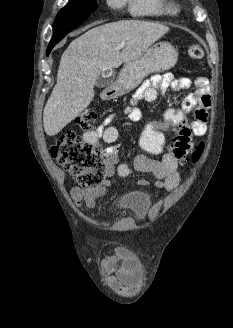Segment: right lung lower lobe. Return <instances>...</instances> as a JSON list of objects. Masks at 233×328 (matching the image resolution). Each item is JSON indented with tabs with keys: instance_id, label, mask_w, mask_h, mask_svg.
I'll return each instance as SVG.
<instances>
[{
	"instance_id": "right-lung-lower-lobe-1",
	"label": "right lung lower lobe",
	"mask_w": 233,
	"mask_h": 328,
	"mask_svg": "<svg viewBox=\"0 0 233 328\" xmlns=\"http://www.w3.org/2000/svg\"><path fill=\"white\" fill-rule=\"evenodd\" d=\"M84 20H60L54 22V33L53 37L51 39V42L49 43L47 53L48 56L51 49L54 47V45L59 42L67 33H69L71 30H73L76 26L81 24Z\"/></svg>"
}]
</instances>
